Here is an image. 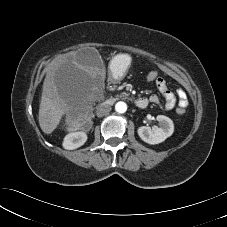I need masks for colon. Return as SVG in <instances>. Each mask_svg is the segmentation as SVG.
<instances>
[{
	"instance_id": "obj_1",
	"label": "colon",
	"mask_w": 227,
	"mask_h": 227,
	"mask_svg": "<svg viewBox=\"0 0 227 227\" xmlns=\"http://www.w3.org/2000/svg\"><path fill=\"white\" fill-rule=\"evenodd\" d=\"M159 77V73L157 70H150L146 73V80L149 82H155ZM185 109L184 108H177V113L178 114H184ZM87 122V117L86 116H75L73 118H71V124L74 127H81L83 125H85Z\"/></svg>"
}]
</instances>
